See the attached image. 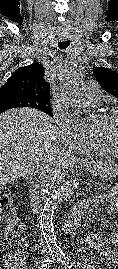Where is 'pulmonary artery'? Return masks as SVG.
Segmentation results:
<instances>
[{
    "mask_svg": "<svg viewBox=\"0 0 118 269\" xmlns=\"http://www.w3.org/2000/svg\"><path fill=\"white\" fill-rule=\"evenodd\" d=\"M102 93L95 81H87L83 85V91L78 97V102L84 106H94L99 104Z\"/></svg>",
    "mask_w": 118,
    "mask_h": 269,
    "instance_id": "1",
    "label": "pulmonary artery"
}]
</instances>
